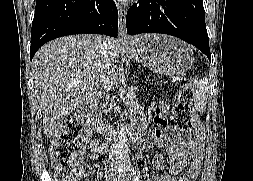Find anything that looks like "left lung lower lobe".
<instances>
[{"instance_id":"1","label":"left lung lower lobe","mask_w":253,"mask_h":181,"mask_svg":"<svg viewBox=\"0 0 253 181\" xmlns=\"http://www.w3.org/2000/svg\"><path fill=\"white\" fill-rule=\"evenodd\" d=\"M127 33H163L200 49L211 60L203 0H139L126 17Z\"/></svg>"}]
</instances>
